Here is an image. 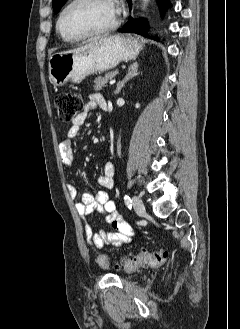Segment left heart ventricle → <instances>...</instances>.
Listing matches in <instances>:
<instances>
[{"mask_svg": "<svg viewBox=\"0 0 240 329\" xmlns=\"http://www.w3.org/2000/svg\"><path fill=\"white\" fill-rule=\"evenodd\" d=\"M116 17L115 7L109 0H85L65 14L62 28L69 36H79L110 25Z\"/></svg>", "mask_w": 240, "mask_h": 329, "instance_id": "1", "label": "left heart ventricle"}]
</instances>
